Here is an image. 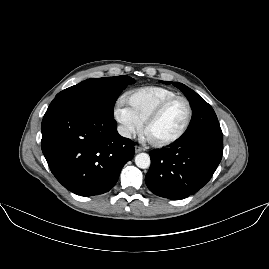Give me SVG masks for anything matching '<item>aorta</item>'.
I'll list each match as a JSON object with an SVG mask.
<instances>
[{
    "mask_svg": "<svg viewBox=\"0 0 269 269\" xmlns=\"http://www.w3.org/2000/svg\"><path fill=\"white\" fill-rule=\"evenodd\" d=\"M135 164L140 169H147L150 167V156L146 153H140L135 157Z\"/></svg>",
    "mask_w": 269,
    "mask_h": 269,
    "instance_id": "1",
    "label": "aorta"
}]
</instances>
